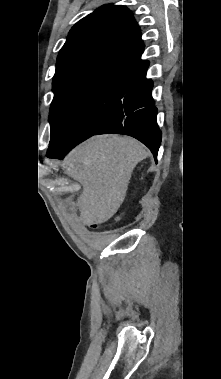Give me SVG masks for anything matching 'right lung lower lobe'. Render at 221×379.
I'll list each match as a JSON object with an SVG mask.
<instances>
[{
    "mask_svg": "<svg viewBox=\"0 0 221 379\" xmlns=\"http://www.w3.org/2000/svg\"><path fill=\"white\" fill-rule=\"evenodd\" d=\"M148 64L121 80L114 108L93 135L106 133L130 135L144 143L157 159L162 135L156 121L157 108L151 95L153 82L146 79ZM84 140H57L49 146L46 156L63 158L67 152Z\"/></svg>",
    "mask_w": 221,
    "mask_h": 379,
    "instance_id": "obj_1",
    "label": "right lung lower lobe"
}]
</instances>
